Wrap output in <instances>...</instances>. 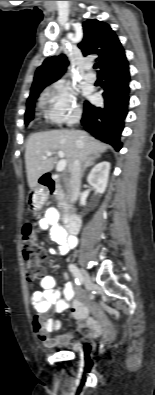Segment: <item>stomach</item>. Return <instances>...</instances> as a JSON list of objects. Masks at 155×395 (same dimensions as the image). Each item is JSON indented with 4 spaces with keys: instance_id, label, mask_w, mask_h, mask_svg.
I'll return each mask as SVG.
<instances>
[{
    "instance_id": "obj_1",
    "label": "stomach",
    "mask_w": 155,
    "mask_h": 395,
    "mask_svg": "<svg viewBox=\"0 0 155 395\" xmlns=\"http://www.w3.org/2000/svg\"><path fill=\"white\" fill-rule=\"evenodd\" d=\"M47 199V192L40 187H35L31 190L29 202L33 209H40Z\"/></svg>"
}]
</instances>
